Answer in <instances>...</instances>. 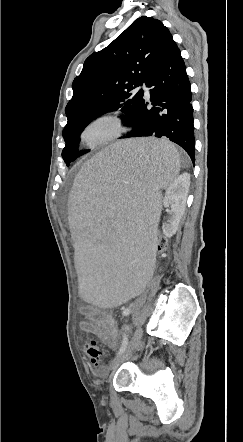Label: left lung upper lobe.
I'll list each match as a JSON object with an SVG mask.
<instances>
[{
	"label": "left lung upper lobe",
	"mask_w": 243,
	"mask_h": 442,
	"mask_svg": "<svg viewBox=\"0 0 243 442\" xmlns=\"http://www.w3.org/2000/svg\"><path fill=\"white\" fill-rule=\"evenodd\" d=\"M170 35L160 20L142 16L112 43L85 61L82 72L72 84L73 97L65 112L63 130L66 142L62 158L67 166L89 150L79 151L80 133L98 116L120 110L126 124L143 100V90L130 93L144 83L145 77Z\"/></svg>",
	"instance_id": "1"
}]
</instances>
